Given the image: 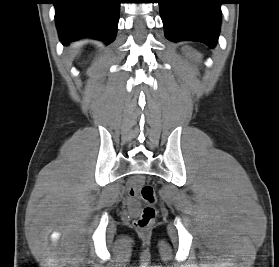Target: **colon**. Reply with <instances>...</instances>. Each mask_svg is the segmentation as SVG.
I'll use <instances>...</instances> for the list:
<instances>
[{"label":"colon","instance_id":"colon-1","mask_svg":"<svg viewBox=\"0 0 279 267\" xmlns=\"http://www.w3.org/2000/svg\"><path fill=\"white\" fill-rule=\"evenodd\" d=\"M140 195L145 202V206L141 215L134 221V226L140 230H146L150 228L157 216V210L155 208L156 192L152 185L143 184L140 187Z\"/></svg>","mask_w":279,"mask_h":267}]
</instances>
